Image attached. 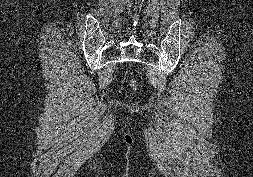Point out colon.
Masks as SVG:
<instances>
[{
  "instance_id": "colon-1",
  "label": "colon",
  "mask_w": 253,
  "mask_h": 177,
  "mask_svg": "<svg viewBox=\"0 0 253 177\" xmlns=\"http://www.w3.org/2000/svg\"><path fill=\"white\" fill-rule=\"evenodd\" d=\"M130 85L132 86V88H136V83L134 80H131L130 81Z\"/></svg>"
}]
</instances>
